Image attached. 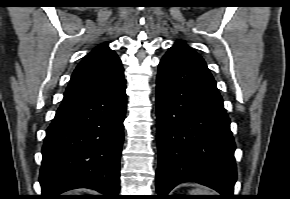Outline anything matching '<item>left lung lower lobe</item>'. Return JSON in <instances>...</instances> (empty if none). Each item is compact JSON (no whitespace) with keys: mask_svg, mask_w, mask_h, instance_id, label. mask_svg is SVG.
<instances>
[{"mask_svg":"<svg viewBox=\"0 0 290 199\" xmlns=\"http://www.w3.org/2000/svg\"><path fill=\"white\" fill-rule=\"evenodd\" d=\"M158 169L162 199L183 182H197L233 199L235 142L223 99L207 66L169 50L157 75Z\"/></svg>","mask_w":290,"mask_h":199,"instance_id":"left-lung-lower-lobe-1","label":"left lung lower lobe"}]
</instances>
